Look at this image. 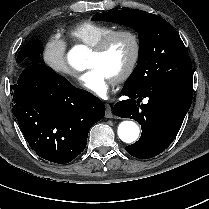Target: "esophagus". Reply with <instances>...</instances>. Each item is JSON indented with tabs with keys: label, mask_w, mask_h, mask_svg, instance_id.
I'll list each match as a JSON object with an SVG mask.
<instances>
[{
	"label": "esophagus",
	"mask_w": 209,
	"mask_h": 209,
	"mask_svg": "<svg viewBox=\"0 0 209 209\" xmlns=\"http://www.w3.org/2000/svg\"><path fill=\"white\" fill-rule=\"evenodd\" d=\"M114 114L112 112L111 106L109 104H106V113L105 117L106 118H113Z\"/></svg>",
	"instance_id": "obj_1"
}]
</instances>
